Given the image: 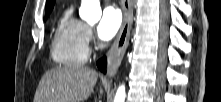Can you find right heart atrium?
Returning <instances> with one entry per match:
<instances>
[{"label":"right heart atrium","instance_id":"d8ad5b80","mask_svg":"<svg viewBox=\"0 0 221 102\" xmlns=\"http://www.w3.org/2000/svg\"><path fill=\"white\" fill-rule=\"evenodd\" d=\"M85 39L87 44H91L93 42V33L90 27L86 26L85 30Z\"/></svg>","mask_w":221,"mask_h":102}]
</instances>
